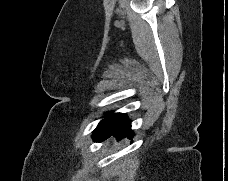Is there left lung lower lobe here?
I'll return each instance as SVG.
<instances>
[{
  "label": "left lung lower lobe",
  "mask_w": 228,
  "mask_h": 181,
  "mask_svg": "<svg viewBox=\"0 0 228 181\" xmlns=\"http://www.w3.org/2000/svg\"><path fill=\"white\" fill-rule=\"evenodd\" d=\"M125 134L128 135L129 139H132L134 136V133H132L131 130L130 121L127 116H125L122 121L115 126L95 129L92 138L96 142H101L111 135H115L119 140L121 137H125Z\"/></svg>",
  "instance_id": "left-lung-lower-lobe-1"
}]
</instances>
